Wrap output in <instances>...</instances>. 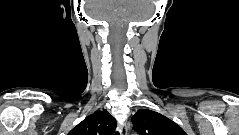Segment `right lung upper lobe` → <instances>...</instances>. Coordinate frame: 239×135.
<instances>
[{
	"mask_svg": "<svg viewBox=\"0 0 239 135\" xmlns=\"http://www.w3.org/2000/svg\"><path fill=\"white\" fill-rule=\"evenodd\" d=\"M117 123L108 111H97L87 116L68 135H112Z\"/></svg>",
	"mask_w": 239,
	"mask_h": 135,
	"instance_id": "right-lung-upper-lobe-1",
	"label": "right lung upper lobe"
}]
</instances>
